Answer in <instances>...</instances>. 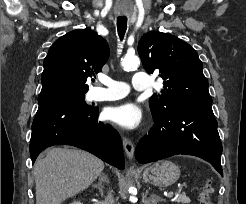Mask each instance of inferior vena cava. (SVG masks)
<instances>
[{
  "label": "inferior vena cava",
  "instance_id": "1",
  "mask_svg": "<svg viewBox=\"0 0 246 204\" xmlns=\"http://www.w3.org/2000/svg\"><path fill=\"white\" fill-rule=\"evenodd\" d=\"M104 204H114V199H113L111 191L108 193V196L106 197L104 201Z\"/></svg>",
  "mask_w": 246,
  "mask_h": 204
}]
</instances>
